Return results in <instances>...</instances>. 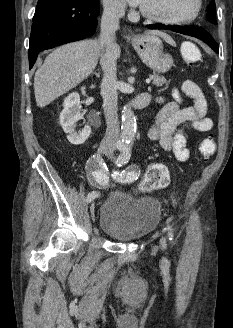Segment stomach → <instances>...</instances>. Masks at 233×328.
<instances>
[{"label": "stomach", "mask_w": 233, "mask_h": 328, "mask_svg": "<svg viewBox=\"0 0 233 328\" xmlns=\"http://www.w3.org/2000/svg\"><path fill=\"white\" fill-rule=\"evenodd\" d=\"M132 44L142 61L157 72H167L173 59L163 52V44L157 35L145 34L132 39Z\"/></svg>", "instance_id": "1"}]
</instances>
